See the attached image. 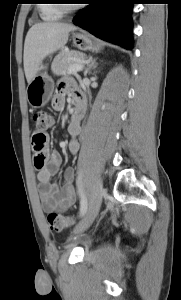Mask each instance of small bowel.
<instances>
[{
    "label": "small bowel",
    "instance_id": "1",
    "mask_svg": "<svg viewBox=\"0 0 181 300\" xmlns=\"http://www.w3.org/2000/svg\"><path fill=\"white\" fill-rule=\"evenodd\" d=\"M67 95H71L76 103L82 102L85 104L84 97L76 90L71 80H60L52 99V107L54 110L60 111L64 108ZM82 116L83 114L77 121L71 120L68 126L70 140L67 146L72 154L77 153L79 149L77 137L81 131ZM43 154L45 160L41 167L38 168L34 161V165L38 169L37 178L39 181V194L43 209L47 212L53 210L66 211L71 208L75 201V170L71 167L66 168L63 173V183L59 184L53 181V178L57 175L61 167L62 160L60 155L57 152Z\"/></svg>",
    "mask_w": 181,
    "mask_h": 300
}]
</instances>
